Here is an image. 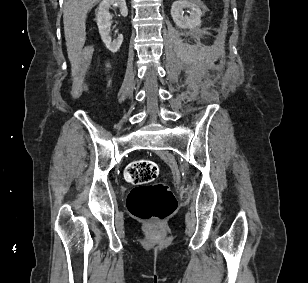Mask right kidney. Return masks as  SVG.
I'll use <instances>...</instances> for the list:
<instances>
[{"mask_svg": "<svg viewBox=\"0 0 308 283\" xmlns=\"http://www.w3.org/2000/svg\"><path fill=\"white\" fill-rule=\"evenodd\" d=\"M111 5H116L119 7L120 14L123 17L128 15V9L125 0H102L96 13V22L98 25L99 33L101 35V39L104 42L106 48L112 53H116L121 47L123 36L118 35V37L112 41L109 35L111 30V15L109 13V8Z\"/></svg>", "mask_w": 308, "mask_h": 283, "instance_id": "ca27d5eb", "label": "right kidney"}]
</instances>
